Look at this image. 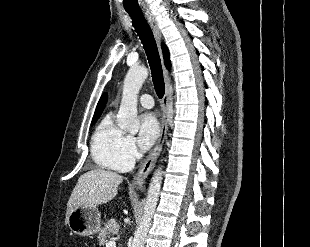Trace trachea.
I'll list each match as a JSON object with an SVG mask.
<instances>
[{"label": "trachea", "mask_w": 310, "mask_h": 247, "mask_svg": "<svg viewBox=\"0 0 310 247\" xmlns=\"http://www.w3.org/2000/svg\"><path fill=\"white\" fill-rule=\"evenodd\" d=\"M132 19L133 27L138 33L146 52L151 69L152 80L157 96L161 99L165 93V84L161 60L151 28L140 10H126Z\"/></svg>", "instance_id": "3493384b"}]
</instances>
